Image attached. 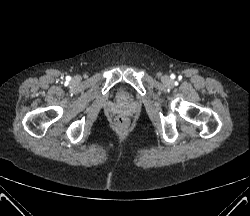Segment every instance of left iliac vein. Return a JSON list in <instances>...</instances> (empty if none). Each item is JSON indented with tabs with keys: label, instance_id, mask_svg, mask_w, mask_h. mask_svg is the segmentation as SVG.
<instances>
[{
	"label": "left iliac vein",
	"instance_id": "obj_1",
	"mask_svg": "<svg viewBox=\"0 0 250 216\" xmlns=\"http://www.w3.org/2000/svg\"><path fill=\"white\" fill-rule=\"evenodd\" d=\"M163 80H164V83H166V84H171V82H172L171 79L169 77H167V76L164 77Z\"/></svg>",
	"mask_w": 250,
	"mask_h": 216
}]
</instances>
